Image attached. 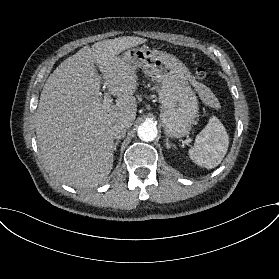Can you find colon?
Segmentation results:
<instances>
[{
    "label": "colon",
    "mask_w": 279,
    "mask_h": 279,
    "mask_svg": "<svg viewBox=\"0 0 279 279\" xmlns=\"http://www.w3.org/2000/svg\"><path fill=\"white\" fill-rule=\"evenodd\" d=\"M195 75L197 79L203 80L207 76V71L203 66L197 65L195 68Z\"/></svg>",
    "instance_id": "obj_1"
}]
</instances>
